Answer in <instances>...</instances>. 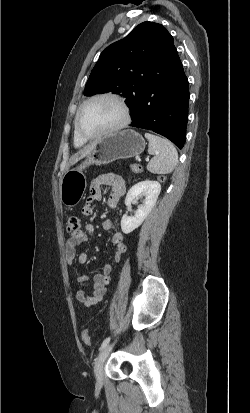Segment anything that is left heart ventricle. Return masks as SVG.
I'll use <instances>...</instances> for the list:
<instances>
[{"label": "left heart ventricle", "instance_id": "1", "mask_svg": "<svg viewBox=\"0 0 250 413\" xmlns=\"http://www.w3.org/2000/svg\"><path fill=\"white\" fill-rule=\"evenodd\" d=\"M122 119L118 104L109 99H100L89 103L79 119L80 129L87 135L105 131L117 125Z\"/></svg>", "mask_w": 250, "mask_h": 413}]
</instances>
